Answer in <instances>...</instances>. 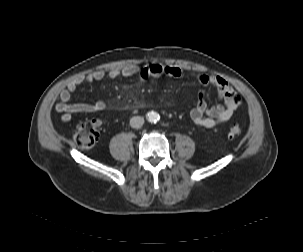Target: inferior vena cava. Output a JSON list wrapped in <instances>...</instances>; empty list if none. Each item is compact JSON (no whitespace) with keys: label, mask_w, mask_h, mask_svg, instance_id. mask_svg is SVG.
Returning <instances> with one entry per match:
<instances>
[{"label":"inferior vena cava","mask_w":303,"mask_h":252,"mask_svg":"<svg viewBox=\"0 0 303 252\" xmlns=\"http://www.w3.org/2000/svg\"><path fill=\"white\" fill-rule=\"evenodd\" d=\"M144 124V118L141 116H134L130 119V126L132 128L139 129L143 126Z\"/></svg>","instance_id":"602c4592"}]
</instances>
